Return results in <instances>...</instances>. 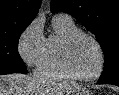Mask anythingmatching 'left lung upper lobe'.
<instances>
[{"mask_svg":"<svg viewBox=\"0 0 119 95\" xmlns=\"http://www.w3.org/2000/svg\"><path fill=\"white\" fill-rule=\"evenodd\" d=\"M51 12H67L92 32L105 55L99 81L119 82V0H51Z\"/></svg>","mask_w":119,"mask_h":95,"instance_id":"5c2ea615","label":"left lung upper lobe"}]
</instances>
